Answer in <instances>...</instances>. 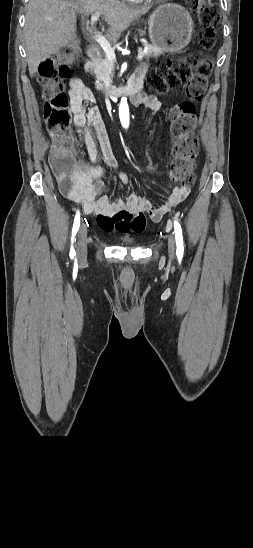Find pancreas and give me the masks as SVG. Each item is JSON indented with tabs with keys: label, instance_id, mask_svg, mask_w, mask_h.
<instances>
[{
	"label": "pancreas",
	"instance_id": "obj_1",
	"mask_svg": "<svg viewBox=\"0 0 253 548\" xmlns=\"http://www.w3.org/2000/svg\"><path fill=\"white\" fill-rule=\"evenodd\" d=\"M147 51H143L142 48L138 49V52H142L145 59L149 57H157L163 53L160 47L154 45H145ZM85 69L94 73L96 76V87L98 89L104 88V83L108 76L113 75L114 63L106 56L102 55L96 59H93L86 63Z\"/></svg>",
	"mask_w": 253,
	"mask_h": 548
}]
</instances>
